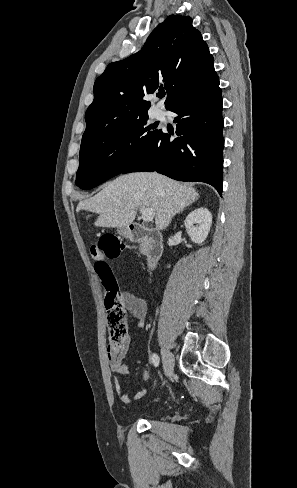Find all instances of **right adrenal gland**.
I'll use <instances>...</instances> for the list:
<instances>
[{
    "label": "right adrenal gland",
    "mask_w": 297,
    "mask_h": 488,
    "mask_svg": "<svg viewBox=\"0 0 297 488\" xmlns=\"http://www.w3.org/2000/svg\"><path fill=\"white\" fill-rule=\"evenodd\" d=\"M187 207H189V205H188V206H186V208H187ZM182 212H183V210H181V212H180V213H182Z\"/></svg>",
    "instance_id": "obj_1"
}]
</instances>
